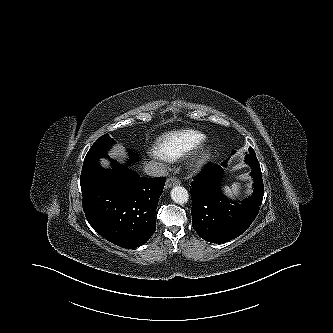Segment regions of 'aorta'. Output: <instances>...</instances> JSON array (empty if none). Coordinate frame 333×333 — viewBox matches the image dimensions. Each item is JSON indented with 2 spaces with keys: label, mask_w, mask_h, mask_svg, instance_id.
<instances>
[{
  "label": "aorta",
  "mask_w": 333,
  "mask_h": 333,
  "mask_svg": "<svg viewBox=\"0 0 333 333\" xmlns=\"http://www.w3.org/2000/svg\"><path fill=\"white\" fill-rule=\"evenodd\" d=\"M171 198L177 204H184L189 199L188 191L182 186H175L171 190Z\"/></svg>",
  "instance_id": "762f6f07"
}]
</instances>
